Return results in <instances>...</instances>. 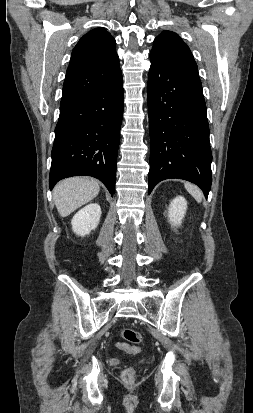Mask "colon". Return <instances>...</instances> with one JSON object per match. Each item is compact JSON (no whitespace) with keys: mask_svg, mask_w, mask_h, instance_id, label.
Listing matches in <instances>:
<instances>
[{"mask_svg":"<svg viewBox=\"0 0 253 413\" xmlns=\"http://www.w3.org/2000/svg\"><path fill=\"white\" fill-rule=\"evenodd\" d=\"M120 335L132 345L126 343H118L117 346L129 353H137L139 348L136 346L142 341L141 334L131 328H123L120 330ZM135 370L132 368L125 369L122 373V379L126 383H133L135 380Z\"/></svg>","mask_w":253,"mask_h":413,"instance_id":"5ec220e1","label":"colon"}]
</instances>
